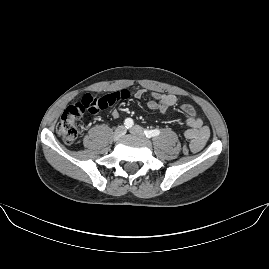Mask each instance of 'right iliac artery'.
<instances>
[{
	"mask_svg": "<svg viewBox=\"0 0 269 269\" xmlns=\"http://www.w3.org/2000/svg\"><path fill=\"white\" fill-rule=\"evenodd\" d=\"M124 125L127 129L131 128L133 125V120L131 118H127L124 122Z\"/></svg>",
	"mask_w": 269,
	"mask_h": 269,
	"instance_id": "obj_1",
	"label": "right iliac artery"
}]
</instances>
